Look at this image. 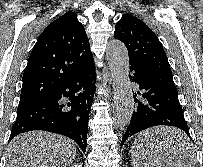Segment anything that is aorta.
<instances>
[{"instance_id":"obj_1","label":"aorta","mask_w":203,"mask_h":167,"mask_svg":"<svg viewBox=\"0 0 203 167\" xmlns=\"http://www.w3.org/2000/svg\"><path fill=\"white\" fill-rule=\"evenodd\" d=\"M106 57L113 80L114 125L116 128L124 130L131 121L134 109L127 48L121 41L112 40L107 45Z\"/></svg>"}]
</instances>
